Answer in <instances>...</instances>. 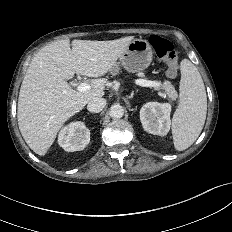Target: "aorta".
Instances as JSON below:
<instances>
[{
  "label": "aorta",
  "mask_w": 232,
  "mask_h": 232,
  "mask_svg": "<svg viewBox=\"0 0 232 232\" xmlns=\"http://www.w3.org/2000/svg\"><path fill=\"white\" fill-rule=\"evenodd\" d=\"M109 115L113 119H119L124 115V108L120 104H113L110 107Z\"/></svg>",
  "instance_id": "1"
}]
</instances>
